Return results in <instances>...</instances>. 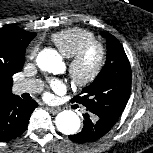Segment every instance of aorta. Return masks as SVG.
<instances>
[{
    "label": "aorta",
    "mask_w": 153,
    "mask_h": 153,
    "mask_svg": "<svg viewBox=\"0 0 153 153\" xmlns=\"http://www.w3.org/2000/svg\"><path fill=\"white\" fill-rule=\"evenodd\" d=\"M36 62L40 69L54 74L59 73L62 66L61 57L54 50L41 51L37 56ZM55 123L57 129L66 135L76 133L81 125L79 116L71 110L60 112L56 116Z\"/></svg>",
    "instance_id": "1"
}]
</instances>
